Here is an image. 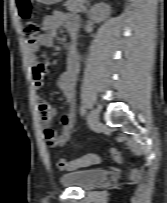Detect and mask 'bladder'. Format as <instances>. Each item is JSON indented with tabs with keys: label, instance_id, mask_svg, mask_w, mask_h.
I'll use <instances>...</instances> for the list:
<instances>
[{
	"label": "bladder",
	"instance_id": "31cf9c89",
	"mask_svg": "<svg viewBox=\"0 0 167 203\" xmlns=\"http://www.w3.org/2000/svg\"><path fill=\"white\" fill-rule=\"evenodd\" d=\"M110 172L105 169H80L66 172L61 175L60 181L65 186H74L81 189H90L108 180Z\"/></svg>",
	"mask_w": 167,
	"mask_h": 203
}]
</instances>
